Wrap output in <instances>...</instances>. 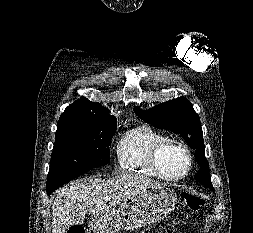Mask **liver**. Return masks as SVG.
<instances>
[{
    "label": "liver",
    "instance_id": "obj_1",
    "mask_svg": "<svg viewBox=\"0 0 253 233\" xmlns=\"http://www.w3.org/2000/svg\"><path fill=\"white\" fill-rule=\"evenodd\" d=\"M158 185H161L158 181L139 174H123L112 179L89 177L72 183L61 190L53 201L52 233H65L86 214L106 211V196H111V207Z\"/></svg>",
    "mask_w": 253,
    "mask_h": 233
}]
</instances>
